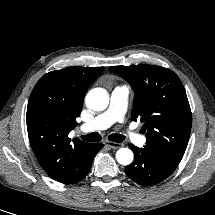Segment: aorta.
I'll use <instances>...</instances> for the list:
<instances>
[{
  "instance_id": "aorta-1",
  "label": "aorta",
  "mask_w": 215,
  "mask_h": 215,
  "mask_svg": "<svg viewBox=\"0 0 215 215\" xmlns=\"http://www.w3.org/2000/svg\"><path fill=\"white\" fill-rule=\"evenodd\" d=\"M109 97L104 89L94 88L86 95V105L94 111H102L107 108ZM118 163L129 165L133 161V152L128 148H121L116 153Z\"/></svg>"
}]
</instances>
